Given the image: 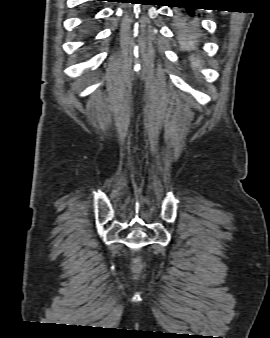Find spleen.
<instances>
[{
	"label": "spleen",
	"mask_w": 270,
	"mask_h": 338,
	"mask_svg": "<svg viewBox=\"0 0 270 338\" xmlns=\"http://www.w3.org/2000/svg\"><path fill=\"white\" fill-rule=\"evenodd\" d=\"M190 60L194 68H198L201 66L202 61L198 57L192 55Z\"/></svg>",
	"instance_id": "obj_1"
}]
</instances>
